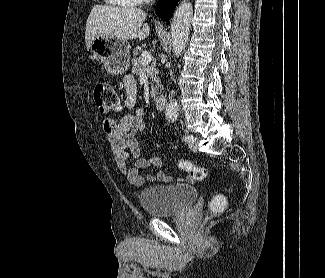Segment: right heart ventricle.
<instances>
[{"label":"right heart ventricle","mask_w":325,"mask_h":278,"mask_svg":"<svg viewBox=\"0 0 325 278\" xmlns=\"http://www.w3.org/2000/svg\"><path fill=\"white\" fill-rule=\"evenodd\" d=\"M107 3L119 7H136L140 2L139 0H105Z\"/></svg>","instance_id":"1"}]
</instances>
